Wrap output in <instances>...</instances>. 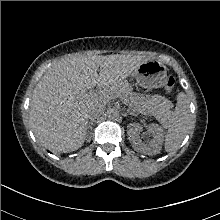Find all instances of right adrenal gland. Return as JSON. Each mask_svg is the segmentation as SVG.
<instances>
[{
  "instance_id": "1",
  "label": "right adrenal gland",
  "mask_w": 220,
  "mask_h": 220,
  "mask_svg": "<svg viewBox=\"0 0 220 220\" xmlns=\"http://www.w3.org/2000/svg\"><path fill=\"white\" fill-rule=\"evenodd\" d=\"M94 122H95V119H92V120L88 123V125H87L88 131L92 129V126L94 125Z\"/></svg>"
}]
</instances>
